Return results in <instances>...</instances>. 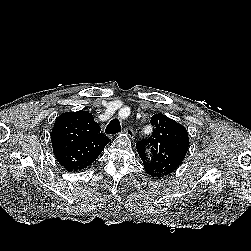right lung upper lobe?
I'll return each instance as SVG.
<instances>
[{"label":"right lung upper lobe","instance_id":"cb5924a9","mask_svg":"<svg viewBox=\"0 0 251 251\" xmlns=\"http://www.w3.org/2000/svg\"><path fill=\"white\" fill-rule=\"evenodd\" d=\"M53 153L68 171H78L94 162L110 142L88 111L66 112L51 132Z\"/></svg>","mask_w":251,"mask_h":251}]
</instances>
